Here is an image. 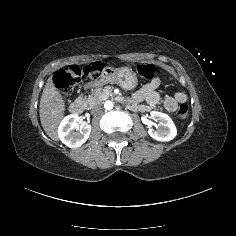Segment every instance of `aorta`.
Segmentation results:
<instances>
[{"label": "aorta", "instance_id": "aorta-1", "mask_svg": "<svg viewBox=\"0 0 236 236\" xmlns=\"http://www.w3.org/2000/svg\"><path fill=\"white\" fill-rule=\"evenodd\" d=\"M104 108L106 110H112L113 109V102L111 101H106L105 104H104Z\"/></svg>", "mask_w": 236, "mask_h": 236}]
</instances>
